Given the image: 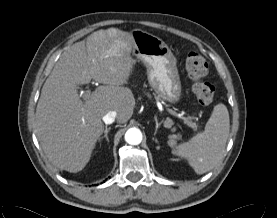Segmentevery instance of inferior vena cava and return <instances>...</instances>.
Listing matches in <instances>:
<instances>
[{
	"mask_svg": "<svg viewBox=\"0 0 277 218\" xmlns=\"http://www.w3.org/2000/svg\"><path fill=\"white\" fill-rule=\"evenodd\" d=\"M117 113L115 111H109L107 114L103 116V121L106 125L112 124L115 121Z\"/></svg>",
	"mask_w": 277,
	"mask_h": 218,
	"instance_id": "inferior-vena-cava-1",
	"label": "inferior vena cava"
}]
</instances>
